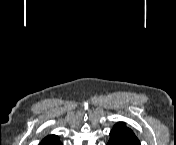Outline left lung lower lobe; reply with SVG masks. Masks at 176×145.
<instances>
[{
  "mask_svg": "<svg viewBox=\"0 0 176 145\" xmlns=\"http://www.w3.org/2000/svg\"><path fill=\"white\" fill-rule=\"evenodd\" d=\"M107 145H129L120 135L110 132V139Z\"/></svg>",
  "mask_w": 176,
  "mask_h": 145,
  "instance_id": "left-lung-lower-lobe-1",
  "label": "left lung lower lobe"
}]
</instances>
